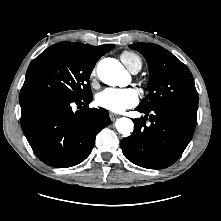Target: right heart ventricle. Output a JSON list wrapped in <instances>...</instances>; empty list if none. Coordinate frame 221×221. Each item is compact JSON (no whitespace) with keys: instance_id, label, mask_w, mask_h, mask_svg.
<instances>
[{"instance_id":"obj_1","label":"right heart ventricle","mask_w":221,"mask_h":221,"mask_svg":"<svg viewBox=\"0 0 221 221\" xmlns=\"http://www.w3.org/2000/svg\"><path fill=\"white\" fill-rule=\"evenodd\" d=\"M120 59L130 71H132L133 69H136V68H138L140 70L142 67L141 58L134 52L123 51L120 54Z\"/></svg>"}]
</instances>
